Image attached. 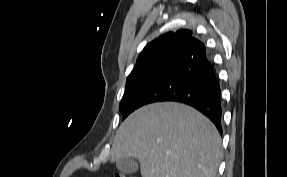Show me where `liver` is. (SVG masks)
<instances>
[{
	"label": "liver",
	"mask_w": 287,
	"mask_h": 177,
	"mask_svg": "<svg viewBox=\"0 0 287 177\" xmlns=\"http://www.w3.org/2000/svg\"><path fill=\"white\" fill-rule=\"evenodd\" d=\"M131 156L139 160L142 177H216L221 138L194 108L153 103L130 114L116 133L111 162Z\"/></svg>",
	"instance_id": "liver-1"
}]
</instances>
